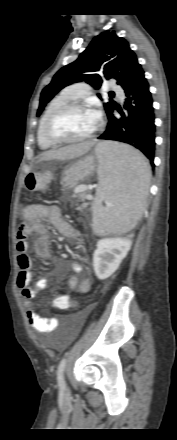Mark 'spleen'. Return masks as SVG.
I'll return each instance as SVG.
<instances>
[{
  "mask_svg": "<svg viewBox=\"0 0 177 440\" xmlns=\"http://www.w3.org/2000/svg\"><path fill=\"white\" fill-rule=\"evenodd\" d=\"M99 160V187L92 205L93 230L98 235L133 229L146 207L151 170L136 149L113 142H101L95 149ZM102 201L113 204L104 208Z\"/></svg>",
  "mask_w": 177,
  "mask_h": 440,
  "instance_id": "spleen-1",
  "label": "spleen"
}]
</instances>
